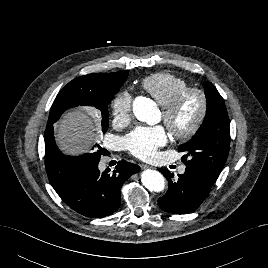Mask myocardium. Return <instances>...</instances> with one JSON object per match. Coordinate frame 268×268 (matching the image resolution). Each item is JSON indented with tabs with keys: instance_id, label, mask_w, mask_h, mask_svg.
I'll use <instances>...</instances> for the list:
<instances>
[{
	"instance_id": "1",
	"label": "myocardium",
	"mask_w": 268,
	"mask_h": 268,
	"mask_svg": "<svg viewBox=\"0 0 268 268\" xmlns=\"http://www.w3.org/2000/svg\"><path fill=\"white\" fill-rule=\"evenodd\" d=\"M190 94H195L199 98V111L193 122L184 130L173 127V119L183 100ZM208 97L205 91L198 87H186L175 94V96L162 107V120L171 135L179 141L191 139L201 128L208 114Z\"/></svg>"
}]
</instances>
